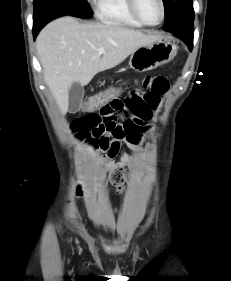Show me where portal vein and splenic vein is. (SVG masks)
<instances>
[{
  "instance_id": "portal-vein-and-splenic-vein-1",
  "label": "portal vein and splenic vein",
  "mask_w": 231,
  "mask_h": 281,
  "mask_svg": "<svg viewBox=\"0 0 231 281\" xmlns=\"http://www.w3.org/2000/svg\"><path fill=\"white\" fill-rule=\"evenodd\" d=\"M99 54H103L105 52V49L103 47L98 49Z\"/></svg>"
}]
</instances>
